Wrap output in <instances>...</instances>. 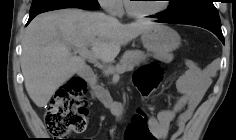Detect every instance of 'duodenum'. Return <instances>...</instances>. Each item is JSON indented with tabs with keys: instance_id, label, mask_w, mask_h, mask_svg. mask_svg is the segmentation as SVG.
<instances>
[{
	"instance_id": "410a0bca",
	"label": "duodenum",
	"mask_w": 236,
	"mask_h": 140,
	"mask_svg": "<svg viewBox=\"0 0 236 140\" xmlns=\"http://www.w3.org/2000/svg\"><path fill=\"white\" fill-rule=\"evenodd\" d=\"M81 74L89 81L94 79L93 71L87 67L83 66L80 69ZM94 95L99 99L103 106L113 111L116 117L122 118L125 116V109L121 104L114 102L100 87H96L94 90Z\"/></svg>"
}]
</instances>
